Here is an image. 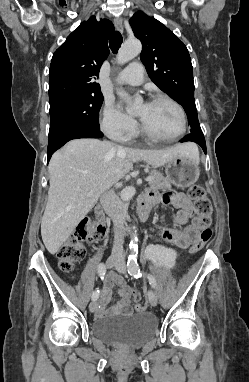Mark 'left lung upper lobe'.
Segmentation results:
<instances>
[{"mask_svg":"<svg viewBox=\"0 0 249 382\" xmlns=\"http://www.w3.org/2000/svg\"><path fill=\"white\" fill-rule=\"evenodd\" d=\"M135 36L142 42L141 61L151 80L182 105L191 133H202L194 100L191 59L179 38L155 18L139 11L130 19Z\"/></svg>","mask_w":249,"mask_h":382,"instance_id":"left-lung-upper-lobe-1","label":"left lung upper lobe"}]
</instances>
